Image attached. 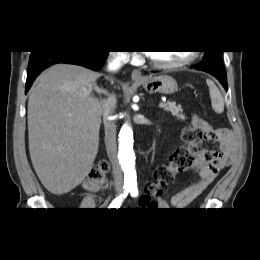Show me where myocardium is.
I'll return each mask as SVG.
<instances>
[{
  "instance_id": "obj_1",
  "label": "myocardium",
  "mask_w": 260,
  "mask_h": 260,
  "mask_svg": "<svg viewBox=\"0 0 260 260\" xmlns=\"http://www.w3.org/2000/svg\"><path fill=\"white\" fill-rule=\"evenodd\" d=\"M197 56H198L197 52L191 51V52H189V55L186 56L182 60L171 62V63H161V62H158L155 59H153L151 57V55L149 54L148 60H149L150 64L157 69L174 70V69H179V68H182V67H185V66L191 64L193 61L196 60Z\"/></svg>"
}]
</instances>
